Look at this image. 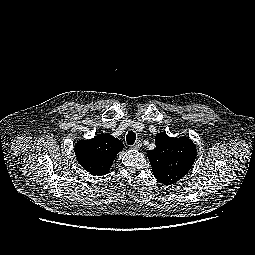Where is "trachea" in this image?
<instances>
[{
  "instance_id": "obj_1",
  "label": "trachea",
  "mask_w": 255,
  "mask_h": 255,
  "mask_svg": "<svg viewBox=\"0 0 255 255\" xmlns=\"http://www.w3.org/2000/svg\"><path fill=\"white\" fill-rule=\"evenodd\" d=\"M126 141L128 145H133L136 141V134L133 131H129L126 136Z\"/></svg>"
}]
</instances>
